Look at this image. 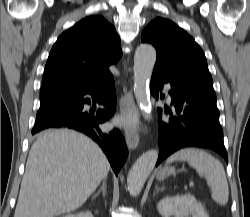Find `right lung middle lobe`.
<instances>
[{
	"instance_id": "dd1d6c3e",
	"label": "right lung middle lobe",
	"mask_w": 250,
	"mask_h": 217,
	"mask_svg": "<svg viewBox=\"0 0 250 217\" xmlns=\"http://www.w3.org/2000/svg\"><path fill=\"white\" fill-rule=\"evenodd\" d=\"M58 102V101H57ZM57 102L51 103V104H47V105H41L39 108V111L37 113V117L40 116L42 113H44L46 110H48L49 108H51L53 105H55Z\"/></svg>"
}]
</instances>
